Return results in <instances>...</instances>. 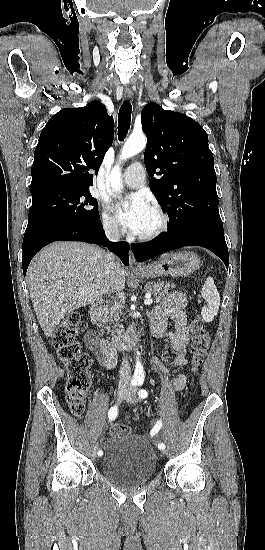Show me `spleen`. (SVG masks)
Wrapping results in <instances>:
<instances>
[{
	"label": "spleen",
	"mask_w": 265,
	"mask_h": 550,
	"mask_svg": "<svg viewBox=\"0 0 265 550\" xmlns=\"http://www.w3.org/2000/svg\"><path fill=\"white\" fill-rule=\"evenodd\" d=\"M202 296L207 303L201 310L202 318L205 322L213 321L217 315L220 306V295L212 277H208L202 287Z\"/></svg>",
	"instance_id": "obj_1"
}]
</instances>
